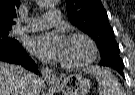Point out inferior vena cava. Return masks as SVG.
Returning <instances> with one entry per match:
<instances>
[{
    "instance_id": "inferior-vena-cava-1",
    "label": "inferior vena cava",
    "mask_w": 135,
    "mask_h": 95,
    "mask_svg": "<svg viewBox=\"0 0 135 95\" xmlns=\"http://www.w3.org/2000/svg\"><path fill=\"white\" fill-rule=\"evenodd\" d=\"M26 80H27V91L26 93H24L25 95H32L31 92V86L33 85L34 81H35V75L28 72L26 75Z\"/></svg>"
}]
</instances>
